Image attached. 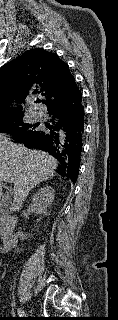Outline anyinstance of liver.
Here are the masks:
<instances>
[{
    "label": "liver",
    "instance_id": "1",
    "mask_svg": "<svg viewBox=\"0 0 118 320\" xmlns=\"http://www.w3.org/2000/svg\"><path fill=\"white\" fill-rule=\"evenodd\" d=\"M57 164V160L48 153L30 150L13 143L5 134H0V199L1 179L12 180L14 196L9 210H20L29 192L39 182L55 175Z\"/></svg>",
    "mask_w": 118,
    "mask_h": 320
}]
</instances>
